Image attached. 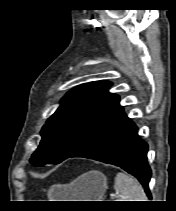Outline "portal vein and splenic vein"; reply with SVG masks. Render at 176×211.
<instances>
[{"label":"portal vein and splenic vein","mask_w":176,"mask_h":211,"mask_svg":"<svg viewBox=\"0 0 176 211\" xmlns=\"http://www.w3.org/2000/svg\"><path fill=\"white\" fill-rule=\"evenodd\" d=\"M117 197H118V195H117V194H114V195L112 196V199L117 198Z\"/></svg>","instance_id":"1"}]
</instances>
